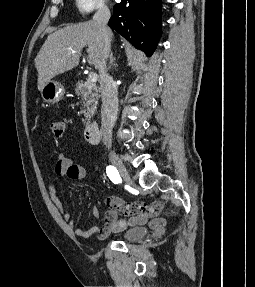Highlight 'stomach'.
<instances>
[{"instance_id": "0dacf381", "label": "stomach", "mask_w": 255, "mask_h": 287, "mask_svg": "<svg viewBox=\"0 0 255 287\" xmlns=\"http://www.w3.org/2000/svg\"><path fill=\"white\" fill-rule=\"evenodd\" d=\"M64 94L65 88H63L60 82H54V80L47 82L41 90V96L48 104H57V102L62 100Z\"/></svg>"}]
</instances>
